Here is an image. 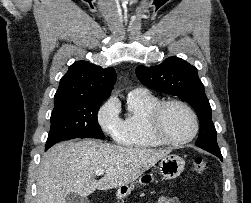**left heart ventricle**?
<instances>
[{"mask_svg": "<svg viewBox=\"0 0 251 203\" xmlns=\"http://www.w3.org/2000/svg\"><path fill=\"white\" fill-rule=\"evenodd\" d=\"M162 130L172 139L188 137L193 130V121L188 111L180 105H170L162 118Z\"/></svg>", "mask_w": 251, "mask_h": 203, "instance_id": "b2bd125f", "label": "left heart ventricle"}]
</instances>
